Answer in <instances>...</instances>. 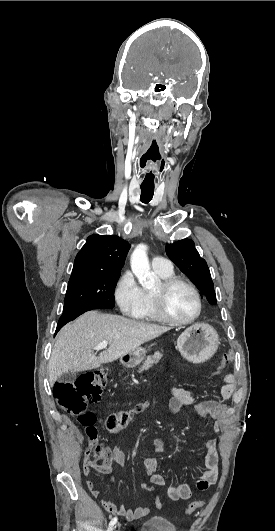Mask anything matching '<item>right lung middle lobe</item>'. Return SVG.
I'll use <instances>...</instances> for the list:
<instances>
[{"label":"right lung middle lobe","mask_w":275,"mask_h":531,"mask_svg":"<svg viewBox=\"0 0 275 531\" xmlns=\"http://www.w3.org/2000/svg\"><path fill=\"white\" fill-rule=\"evenodd\" d=\"M120 273H88L71 276L63 312L114 307V290Z\"/></svg>","instance_id":"dd1d6c3e"}]
</instances>
